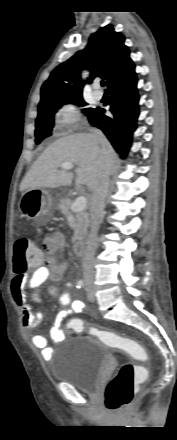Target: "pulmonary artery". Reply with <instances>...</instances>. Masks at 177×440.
I'll return each instance as SVG.
<instances>
[{
    "instance_id": "pulmonary-artery-1",
    "label": "pulmonary artery",
    "mask_w": 177,
    "mask_h": 440,
    "mask_svg": "<svg viewBox=\"0 0 177 440\" xmlns=\"http://www.w3.org/2000/svg\"><path fill=\"white\" fill-rule=\"evenodd\" d=\"M93 97H94L95 100H100L103 97V93L98 91V90H95L93 92Z\"/></svg>"
}]
</instances>
